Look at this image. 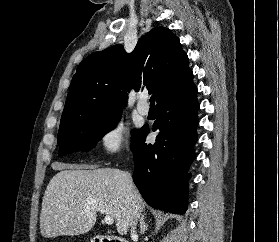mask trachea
Wrapping results in <instances>:
<instances>
[{"label": "trachea", "instance_id": "3493384b", "mask_svg": "<svg viewBox=\"0 0 279 242\" xmlns=\"http://www.w3.org/2000/svg\"><path fill=\"white\" fill-rule=\"evenodd\" d=\"M155 99H156V95H152L150 97V105L154 106L155 105Z\"/></svg>", "mask_w": 279, "mask_h": 242}]
</instances>
